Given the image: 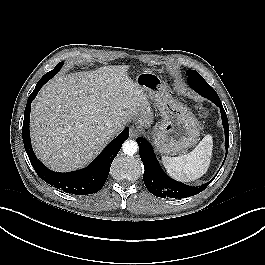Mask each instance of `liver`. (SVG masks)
I'll use <instances>...</instances> for the list:
<instances>
[{"label": "liver", "instance_id": "liver-1", "mask_svg": "<svg viewBox=\"0 0 265 265\" xmlns=\"http://www.w3.org/2000/svg\"><path fill=\"white\" fill-rule=\"evenodd\" d=\"M128 69L117 65L70 73L39 92L31 111V140L47 167L76 170L90 163L128 121L150 126V104ZM111 125L114 135L106 132Z\"/></svg>", "mask_w": 265, "mask_h": 265}]
</instances>
